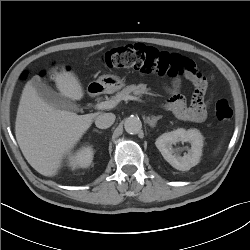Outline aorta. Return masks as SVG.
Returning a JSON list of instances; mask_svg holds the SVG:
<instances>
[{
    "instance_id": "1",
    "label": "aorta",
    "mask_w": 250,
    "mask_h": 250,
    "mask_svg": "<svg viewBox=\"0 0 250 250\" xmlns=\"http://www.w3.org/2000/svg\"><path fill=\"white\" fill-rule=\"evenodd\" d=\"M124 128L129 134H137L142 128V123L138 117L130 116L125 119Z\"/></svg>"
}]
</instances>
